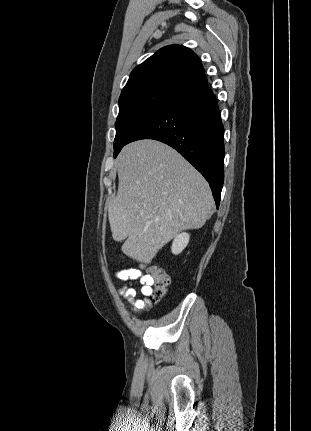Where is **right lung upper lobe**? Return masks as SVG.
<instances>
[{
    "label": "right lung upper lobe",
    "mask_w": 311,
    "mask_h": 431,
    "mask_svg": "<svg viewBox=\"0 0 311 431\" xmlns=\"http://www.w3.org/2000/svg\"><path fill=\"white\" fill-rule=\"evenodd\" d=\"M206 86L198 56L187 47L170 45L136 66L121 94L155 88L182 96Z\"/></svg>",
    "instance_id": "right-lung-upper-lobe-1"
}]
</instances>
